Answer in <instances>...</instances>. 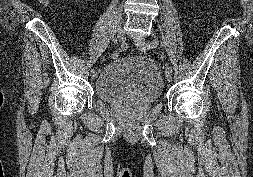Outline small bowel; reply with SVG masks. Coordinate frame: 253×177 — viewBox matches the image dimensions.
<instances>
[{"label": "small bowel", "mask_w": 253, "mask_h": 177, "mask_svg": "<svg viewBox=\"0 0 253 177\" xmlns=\"http://www.w3.org/2000/svg\"><path fill=\"white\" fill-rule=\"evenodd\" d=\"M40 3H42V4H44L43 2H42V0H38ZM45 5V4H44Z\"/></svg>", "instance_id": "c3829d8e"}]
</instances>
